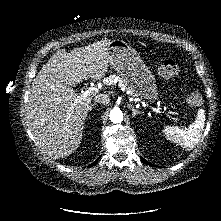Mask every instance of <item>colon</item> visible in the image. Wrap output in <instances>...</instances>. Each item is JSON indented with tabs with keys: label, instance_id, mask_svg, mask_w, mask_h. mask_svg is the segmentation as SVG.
<instances>
[{
	"label": "colon",
	"instance_id": "obj_1",
	"mask_svg": "<svg viewBox=\"0 0 221 221\" xmlns=\"http://www.w3.org/2000/svg\"><path fill=\"white\" fill-rule=\"evenodd\" d=\"M181 72V64L178 60L169 59L158 67V73L165 79L174 78ZM187 103L190 106H200L203 103V96L197 89L191 91L187 96Z\"/></svg>",
	"mask_w": 221,
	"mask_h": 221
}]
</instances>
